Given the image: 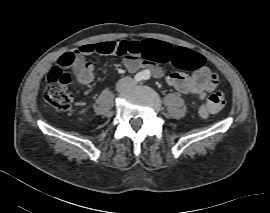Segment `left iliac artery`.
<instances>
[{"label":"left iliac artery","mask_w":270,"mask_h":213,"mask_svg":"<svg viewBox=\"0 0 270 213\" xmlns=\"http://www.w3.org/2000/svg\"><path fill=\"white\" fill-rule=\"evenodd\" d=\"M144 79H145V80H149V79H150V74L147 73V74L145 75Z\"/></svg>","instance_id":"obj_1"}]
</instances>
